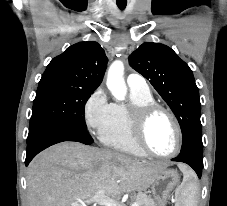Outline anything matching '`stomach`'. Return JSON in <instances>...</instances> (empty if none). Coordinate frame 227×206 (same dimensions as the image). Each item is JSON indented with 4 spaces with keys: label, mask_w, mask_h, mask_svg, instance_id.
<instances>
[{
    "label": "stomach",
    "mask_w": 227,
    "mask_h": 206,
    "mask_svg": "<svg viewBox=\"0 0 227 206\" xmlns=\"http://www.w3.org/2000/svg\"><path fill=\"white\" fill-rule=\"evenodd\" d=\"M180 181L176 170L165 169L160 172L151 184V191L155 199L156 206H165L166 201L173 189Z\"/></svg>",
    "instance_id": "1"
}]
</instances>
